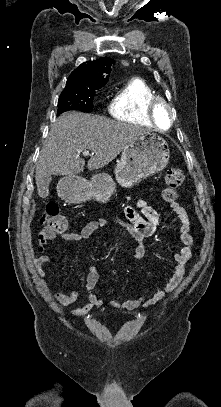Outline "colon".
Returning <instances> with one entry per match:
<instances>
[{"instance_id": "obj_1", "label": "colon", "mask_w": 221, "mask_h": 407, "mask_svg": "<svg viewBox=\"0 0 221 407\" xmlns=\"http://www.w3.org/2000/svg\"><path fill=\"white\" fill-rule=\"evenodd\" d=\"M185 180L184 172L179 168H170L166 171L165 187L162 189V198L169 204L177 203L180 199L179 188ZM45 224L40 233L42 240H51L56 235L63 233L67 228L66 217L59 213L55 203H49L41 219Z\"/></svg>"}]
</instances>
